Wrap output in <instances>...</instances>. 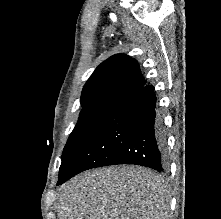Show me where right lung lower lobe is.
<instances>
[{
    "label": "right lung lower lobe",
    "instance_id": "1",
    "mask_svg": "<svg viewBox=\"0 0 221 219\" xmlns=\"http://www.w3.org/2000/svg\"><path fill=\"white\" fill-rule=\"evenodd\" d=\"M116 164L168 168L166 134L150 85L125 97L62 161L57 185L82 171Z\"/></svg>",
    "mask_w": 221,
    "mask_h": 219
}]
</instances>
